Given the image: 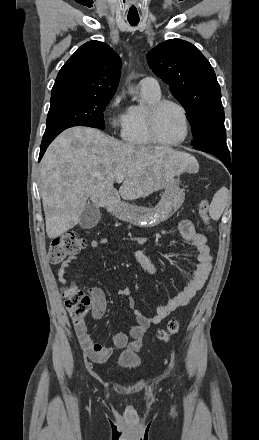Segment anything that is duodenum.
<instances>
[{"label": "duodenum", "instance_id": "410a0bca", "mask_svg": "<svg viewBox=\"0 0 259 440\" xmlns=\"http://www.w3.org/2000/svg\"><path fill=\"white\" fill-rule=\"evenodd\" d=\"M114 209H115V205H111L108 207V211H110V212L113 211Z\"/></svg>", "mask_w": 259, "mask_h": 440}]
</instances>
